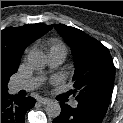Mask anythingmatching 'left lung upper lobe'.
<instances>
[{
	"label": "left lung upper lobe",
	"mask_w": 123,
	"mask_h": 123,
	"mask_svg": "<svg viewBox=\"0 0 123 123\" xmlns=\"http://www.w3.org/2000/svg\"><path fill=\"white\" fill-rule=\"evenodd\" d=\"M54 28L72 48L75 72L73 93L78 92V103L103 112L107 111L112 96L115 67L109 50L83 31L63 24Z\"/></svg>",
	"instance_id": "5c2ea615"
}]
</instances>
